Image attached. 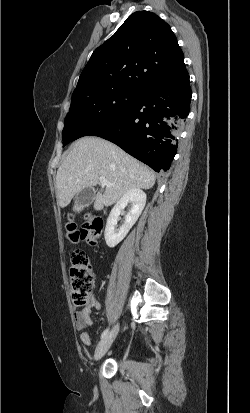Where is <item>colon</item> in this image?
Here are the masks:
<instances>
[{"instance_id": "colon-1", "label": "colon", "mask_w": 250, "mask_h": 413, "mask_svg": "<svg viewBox=\"0 0 250 413\" xmlns=\"http://www.w3.org/2000/svg\"><path fill=\"white\" fill-rule=\"evenodd\" d=\"M66 237L72 244L81 240L94 245L98 242L103 231V221L96 216L87 215L82 228L79 230L74 219L70 216L65 224ZM94 275L86 254L75 251L72 254L70 268V291L73 303L78 307H88L92 302Z\"/></svg>"}]
</instances>
